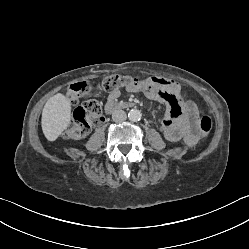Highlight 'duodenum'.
Instances as JSON below:
<instances>
[{
    "label": "duodenum",
    "instance_id": "obj_1",
    "mask_svg": "<svg viewBox=\"0 0 249 249\" xmlns=\"http://www.w3.org/2000/svg\"><path fill=\"white\" fill-rule=\"evenodd\" d=\"M133 106H134V103H132V102H124V101L118 102V103L113 102V103L106 105L105 113L110 114V113L115 112L119 109H127V108H131Z\"/></svg>",
    "mask_w": 249,
    "mask_h": 249
}]
</instances>
